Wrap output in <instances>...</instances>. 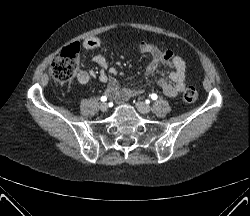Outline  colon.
Listing matches in <instances>:
<instances>
[{"label":"colon","instance_id":"5ec220e1","mask_svg":"<svg viewBox=\"0 0 250 216\" xmlns=\"http://www.w3.org/2000/svg\"><path fill=\"white\" fill-rule=\"evenodd\" d=\"M78 54V44H72L64 48L51 64L50 72L53 78L60 82L71 80L78 68ZM197 98V89L194 86H188L183 93V100L186 103H193Z\"/></svg>","mask_w":250,"mask_h":216}]
</instances>
